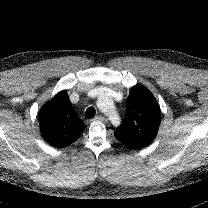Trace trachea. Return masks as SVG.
Instances as JSON below:
<instances>
[{
    "instance_id": "obj_1",
    "label": "trachea",
    "mask_w": 208,
    "mask_h": 208,
    "mask_svg": "<svg viewBox=\"0 0 208 208\" xmlns=\"http://www.w3.org/2000/svg\"><path fill=\"white\" fill-rule=\"evenodd\" d=\"M95 113H96L95 108L94 107H89L86 110V113H85L86 118L87 119L93 118L95 116Z\"/></svg>"
}]
</instances>
